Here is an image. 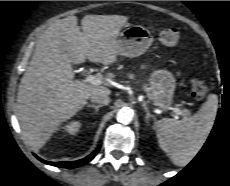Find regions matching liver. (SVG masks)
<instances>
[{"instance_id":"obj_1","label":"liver","mask_w":230,"mask_h":186,"mask_svg":"<svg viewBox=\"0 0 230 186\" xmlns=\"http://www.w3.org/2000/svg\"><path fill=\"white\" fill-rule=\"evenodd\" d=\"M127 21L120 15H86L81 32L77 17L68 16L52 23L40 36L17 94L16 113L27 145L42 148L93 93H111L103 85L73 80L72 65L87 59L104 65L115 63L117 36ZM106 77L115 75L107 73Z\"/></svg>"}]
</instances>
